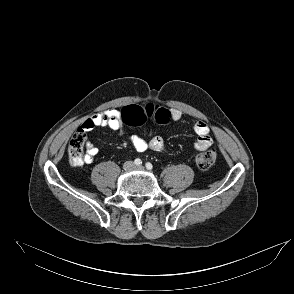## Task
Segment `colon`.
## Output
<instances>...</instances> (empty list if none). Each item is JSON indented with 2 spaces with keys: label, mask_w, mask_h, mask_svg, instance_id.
Returning <instances> with one entry per match:
<instances>
[{
  "label": "colon",
  "mask_w": 294,
  "mask_h": 294,
  "mask_svg": "<svg viewBox=\"0 0 294 294\" xmlns=\"http://www.w3.org/2000/svg\"><path fill=\"white\" fill-rule=\"evenodd\" d=\"M120 118L123 123L131 126L144 124L151 119L157 124H165L171 121V111L167 108L154 104L128 105L120 111ZM85 132L82 129L75 131L68 144L69 161L73 166H79L83 163V149L85 143ZM216 160L214 149H206L196 156V164L201 170L210 169Z\"/></svg>",
  "instance_id": "obj_1"
}]
</instances>
